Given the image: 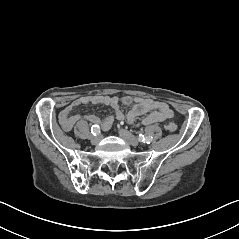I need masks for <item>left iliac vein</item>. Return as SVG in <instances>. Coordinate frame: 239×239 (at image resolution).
Listing matches in <instances>:
<instances>
[{
  "instance_id": "1",
  "label": "left iliac vein",
  "mask_w": 239,
  "mask_h": 239,
  "mask_svg": "<svg viewBox=\"0 0 239 239\" xmlns=\"http://www.w3.org/2000/svg\"><path fill=\"white\" fill-rule=\"evenodd\" d=\"M119 135L128 144H130L132 146H138L139 145L138 139L135 136H133L130 132H128L127 130H124V129L119 130Z\"/></svg>"
}]
</instances>
